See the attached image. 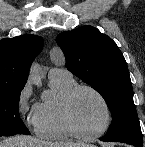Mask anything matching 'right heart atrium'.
<instances>
[{
  "label": "right heart atrium",
  "mask_w": 145,
  "mask_h": 147,
  "mask_svg": "<svg viewBox=\"0 0 145 147\" xmlns=\"http://www.w3.org/2000/svg\"><path fill=\"white\" fill-rule=\"evenodd\" d=\"M32 88L26 83L19 92L17 99V111L24 124L32 129L36 128L38 119L37 104H31Z\"/></svg>",
  "instance_id": "right-heart-atrium-1"
}]
</instances>
